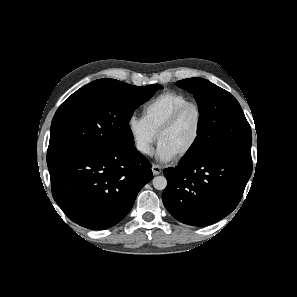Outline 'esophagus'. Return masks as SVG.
Instances as JSON below:
<instances>
[{
    "mask_svg": "<svg viewBox=\"0 0 297 297\" xmlns=\"http://www.w3.org/2000/svg\"><path fill=\"white\" fill-rule=\"evenodd\" d=\"M162 172V168L159 165L153 164L152 165V173L154 175H159Z\"/></svg>",
    "mask_w": 297,
    "mask_h": 297,
    "instance_id": "34e87169",
    "label": "esophagus"
}]
</instances>
